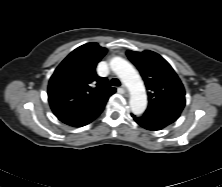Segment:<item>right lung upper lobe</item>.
<instances>
[{"label":"right lung upper lobe","mask_w":222,"mask_h":187,"mask_svg":"<svg viewBox=\"0 0 222 187\" xmlns=\"http://www.w3.org/2000/svg\"><path fill=\"white\" fill-rule=\"evenodd\" d=\"M107 49L97 43L72 51L56 68L48 85V100L57 117L84 116L102 111L116 89L95 68Z\"/></svg>","instance_id":"cb5924a9"}]
</instances>
